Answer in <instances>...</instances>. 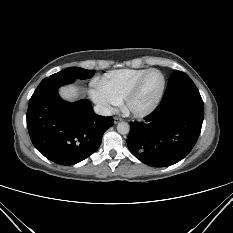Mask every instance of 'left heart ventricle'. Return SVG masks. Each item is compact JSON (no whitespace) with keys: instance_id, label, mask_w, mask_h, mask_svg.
<instances>
[{"instance_id":"b2bd125f","label":"left heart ventricle","mask_w":233,"mask_h":233,"mask_svg":"<svg viewBox=\"0 0 233 233\" xmlns=\"http://www.w3.org/2000/svg\"><path fill=\"white\" fill-rule=\"evenodd\" d=\"M161 85V75L157 72L150 73L144 80L139 94L134 99V107L143 108L149 105L158 95Z\"/></svg>"}]
</instances>
